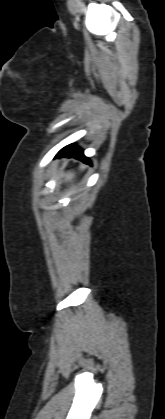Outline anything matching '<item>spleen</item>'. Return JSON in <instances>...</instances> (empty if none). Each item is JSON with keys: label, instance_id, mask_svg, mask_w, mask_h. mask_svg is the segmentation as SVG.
Returning a JSON list of instances; mask_svg holds the SVG:
<instances>
[{"label": "spleen", "instance_id": "1", "mask_svg": "<svg viewBox=\"0 0 165 419\" xmlns=\"http://www.w3.org/2000/svg\"><path fill=\"white\" fill-rule=\"evenodd\" d=\"M65 177H66L67 180H69V179H71L73 177V174L72 173H68V174L65 175Z\"/></svg>", "mask_w": 165, "mask_h": 419}]
</instances>
